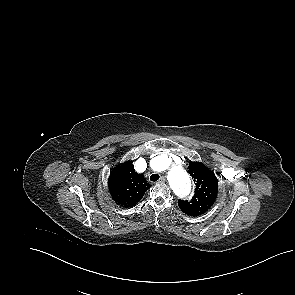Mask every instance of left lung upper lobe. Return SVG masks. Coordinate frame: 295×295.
<instances>
[{
	"mask_svg": "<svg viewBox=\"0 0 295 295\" xmlns=\"http://www.w3.org/2000/svg\"><path fill=\"white\" fill-rule=\"evenodd\" d=\"M188 172L194 179L195 193L191 201L179 200L178 206L185 214L198 216L214 204L218 192V181L215 174L199 162H190Z\"/></svg>",
	"mask_w": 295,
	"mask_h": 295,
	"instance_id": "left-lung-upper-lobe-1",
	"label": "left lung upper lobe"
}]
</instances>
